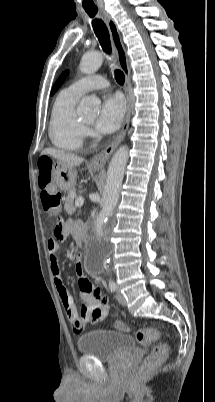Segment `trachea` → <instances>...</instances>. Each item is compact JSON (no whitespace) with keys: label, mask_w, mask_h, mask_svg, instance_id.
I'll return each mask as SVG.
<instances>
[{"label":"trachea","mask_w":215,"mask_h":402,"mask_svg":"<svg viewBox=\"0 0 215 402\" xmlns=\"http://www.w3.org/2000/svg\"><path fill=\"white\" fill-rule=\"evenodd\" d=\"M88 15L93 18L97 14V9H85ZM93 30L101 44L103 51L107 54H111V41L106 24L101 19H93ZM116 81L123 85L125 81L124 73L121 70L116 69L115 72Z\"/></svg>","instance_id":"1"}]
</instances>
